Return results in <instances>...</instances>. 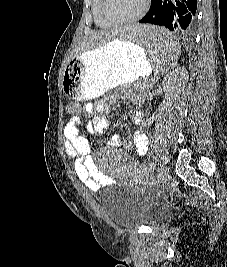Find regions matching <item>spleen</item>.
Masks as SVG:
<instances>
[{
    "label": "spleen",
    "instance_id": "3e777b00",
    "mask_svg": "<svg viewBox=\"0 0 227 267\" xmlns=\"http://www.w3.org/2000/svg\"><path fill=\"white\" fill-rule=\"evenodd\" d=\"M117 29L127 30L121 33L120 41L143 47L148 63H152L154 77H169V72L177 67L180 44L172 33L158 27V23L127 22Z\"/></svg>",
    "mask_w": 227,
    "mask_h": 267
}]
</instances>
